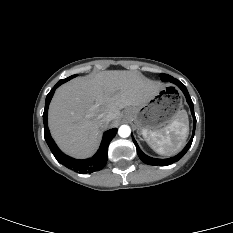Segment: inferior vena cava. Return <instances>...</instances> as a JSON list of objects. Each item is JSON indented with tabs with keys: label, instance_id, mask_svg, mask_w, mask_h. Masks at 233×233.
I'll use <instances>...</instances> for the list:
<instances>
[{
	"label": "inferior vena cava",
	"instance_id": "1",
	"mask_svg": "<svg viewBox=\"0 0 233 233\" xmlns=\"http://www.w3.org/2000/svg\"><path fill=\"white\" fill-rule=\"evenodd\" d=\"M98 120H99V122H100L101 124H106V123L109 122V117L104 116L103 114H100V115L98 116Z\"/></svg>",
	"mask_w": 233,
	"mask_h": 233
}]
</instances>
